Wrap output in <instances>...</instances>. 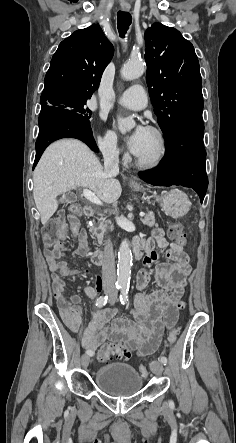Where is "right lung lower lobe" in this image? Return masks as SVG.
Instances as JSON below:
<instances>
[{
  "label": "right lung lower lobe",
  "instance_id": "98d812e1",
  "mask_svg": "<svg viewBox=\"0 0 236 443\" xmlns=\"http://www.w3.org/2000/svg\"><path fill=\"white\" fill-rule=\"evenodd\" d=\"M38 123L40 129L35 144L36 156L33 169L46 147L61 138H76L87 144L92 151L98 150L91 126L69 115L64 109L55 106L41 108Z\"/></svg>",
  "mask_w": 236,
  "mask_h": 443
}]
</instances>
